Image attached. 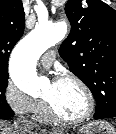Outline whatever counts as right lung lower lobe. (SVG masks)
<instances>
[{
	"label": "right lung lower lobe",
	"instance_id": "98d812e1",
	"mask_svg": "<svg viewBox=\"0 0 116 134\" xmlns=\"http://www.w3.org/2000/svg\"><path fill=\"white\" fill-rule=\"evenodd\" d=\"M12 116H14V112L11 113L10 115H8V116H4V118H0V119L10 118V117H12Z\"/></svg>",
	"mask_w": 116,
	"mask_h": 134
}]
</instances>
